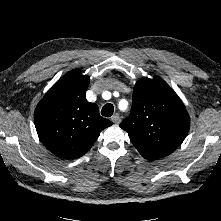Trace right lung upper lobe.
<instances>
[{
  "instance_id": "1",
  "label": "right lung upper lobe",
  "mask_w": 221,
  "mask_h": 221,
  "mask_svg": "<svg viewBox=\"0 0 221 221\" xmlns=\"http://www.w3.org/2000/svg\"><path fill=\"white\" fill-rule=\"evenodd\" d=\"M87 75L71 71L45 94L34 112L39 139L53 154L75 159L84 155L112 122L101 117L95 103L86 100Z\"/></svg>"
}]
</instances>
